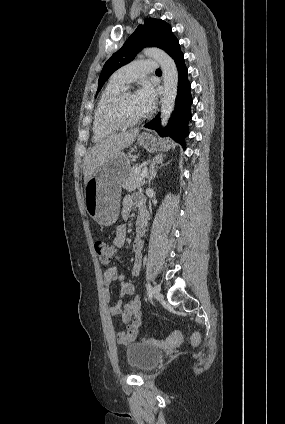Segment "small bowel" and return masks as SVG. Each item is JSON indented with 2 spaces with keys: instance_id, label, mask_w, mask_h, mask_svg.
Instances as JSON below:
<instances>
[{
  "instance_id": "obj_1",
  "label": "small bowel",
  "mask_w": 285,
  "mask_h": 424,
  "mask_svg": "<svg viewBox=\"0 0 285 424\" xmlns=\"http://www.w3.org/2000/svg\"><path fill=\"white\" fill-rule=\"evenodd\" d=\"M138 209V220L141 217H148L144 205V198L141 194L133 193L126 195L122 200L121 217L127 220L132 209ZM126 226L119 225L113 238V245L116 248H122L126 244ZM142 249L143 242L138 237L133 241L134 262L132 266V275L137 276L142 266ZM118 281L120 285V299L117 303L108 309L111 317L121 316L122 322L126 326L125 331L118 332L115 335L116 342L126 345L132 342L140 333L142 327V302L138 295L135 294V287L130 283L118 266L108 267L102 275V299L108 305L111 301L110 284ZM132 296L129 302L124 303L123 297Z\"/></svg>"
}]
</instances>
